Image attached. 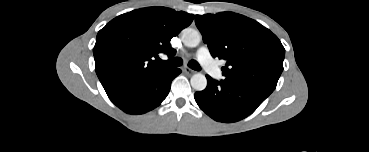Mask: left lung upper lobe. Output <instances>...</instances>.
<instances>
[{
    "instance_id": "1",
    "label": "left lung upper lobe",
    "mask_w": 369,
    "mask_h": 152,
    "mask_svg": "<svg viewBox=\"0 0 369 152\" xmlns=\"http://www.w3.org/2000/svg\"><path fill=\"white\" fill-rule=\"evenodd\" d=\"M195 23L211 55L226 61L224 82L274 91L285 49L269 29L233 12L196 15Z\"/></svg>"
}]
</instances>
